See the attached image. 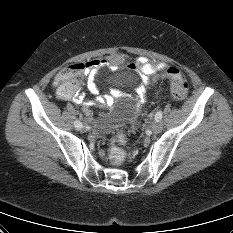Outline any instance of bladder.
Masks as SVG:
<instances>
[{"mask_svg": "<svg viewBox=\"0 0 233 233\" xmlns=\"http://www.w3.org/2000/svg\"><path fill=\"white\" fill-rule=\"evenodd\" d=\"M125 79H130L126 76ZM132 118V109L129 104L113 109L107 116L102 117L96 124L99 133H109L124 126Z\"/></svg>", "mask_w": 233, "mask_h": 233, "instance_id": "obj_1", "label": "bladder"}]
</instances>
